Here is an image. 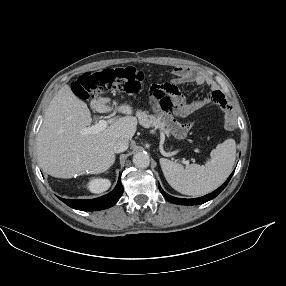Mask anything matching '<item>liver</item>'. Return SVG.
<instances>
[{
	"label": "liver",
	"instance_id": "obj_1",
	"mask_svg": "<svg viewBox=\"0 0 286 286\" xmlns=\"http://www.w3.org/2000/svg\"><path fill=\"white\" fill-rule=\"evenodd\" d=\"M94 112L107 113L113 108L106 98L90 103ZM125 117L112 121L97 134H82L92 123L87 104L68 85L55 94L45 113L37 137V154L43 171L57 178H72L76 173L100 174L115 161L114 144L118 139H132L137 120L129 104L115 109Z\"/></svg>",
	"mask_w": 286,
	"mask_h": 286
}]
</instances>
